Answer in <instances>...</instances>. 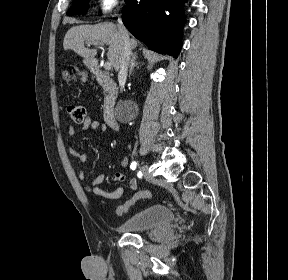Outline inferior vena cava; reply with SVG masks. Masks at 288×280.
Returning <instances> with one entry per match:
<instances>
[{"mask_svg":"<svg viewBox=\"0 0 288 280\" xmlns=\"http://www.w3.org/2000/svg\"><path fill=\"white\" fill-rule=\"evenodd\" d=\"M118 29H119L120 36L122 39V54L120 57V69H119L118 75L121 78H126L128 64H129L130 55H131V48H130L128 32L120 19L118 23Z\"/></svg>","mask_w":288,"mask_h":280,"instance_id":"obj_1","label":"inferior vena cava"}]
</instances>
